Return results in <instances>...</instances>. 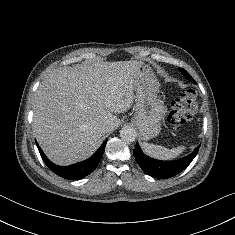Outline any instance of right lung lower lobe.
Returning <instances> with one entry per match:
<instances>
[{
  "label": "right lung lower lobe",
  "mask_w": 235,
  "mask_h": 235,
  "mask_svg": "<svg viewBox=\"0 0 235 235\" xmlns=\"http://www.w3.org/2000/svg\"><path fill=\"white\" fill-rule=\"evenodd\" d=\"M106 142L107 140L104 141L101 147L89 159L70 166L55 165L45 156L42 149L39 147L37 143L36 145L38 147V150L40 152V155L44 163L52 172L65 179L78 180L91 174L95 170L104 153Z\"/></svg>",
  "instance_id": "right-lung-lower-lobe-1"
}]
</instances>
